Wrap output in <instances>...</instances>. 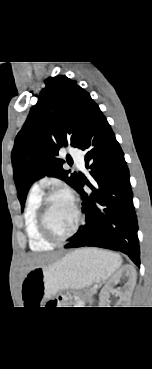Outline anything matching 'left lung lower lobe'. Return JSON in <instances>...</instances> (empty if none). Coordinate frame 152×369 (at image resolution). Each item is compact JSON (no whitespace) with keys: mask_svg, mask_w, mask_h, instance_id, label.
Returning <instances> with one entry per match:
<instances>
[{"mask_svg":"<svg viewBox=\"0 0 152 369\" xmlns=\"http://www.w3.org/2000/svg\"><path fill=\"white\" fill-rule=\"evenodd\" d=\"M78 148L86 151L85 164L92 178H79L74 188L81 195L86 222L65 248L95 246L121 251L140 266L138 222L129 170L124 153L99 107ZM84 184L90 192L83 190Z\"/></svg>","mask_w":152,"mask_h":369,"instance_id":"0a47b994","label":"left lung lower lobe"}]
</instances>
